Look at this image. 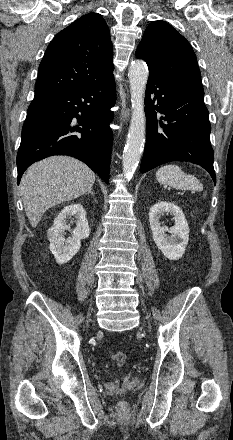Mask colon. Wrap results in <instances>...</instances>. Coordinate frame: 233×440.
Instances as JSON below:
<instances>
[{"label": "colon", "mask_w": 233, "mask_h": 440, "mask_svg": "<svg viewBox=\"0 0 233 440\" xmlns=\"http://www.w3.org/2000/svg\"><path fill=\"white\" fill-rule=\"evenodd\" d=\"M113 359H114L115 363L121 367L126 363L127 355H126V353H124L122 351H117V352L113 353ZM127 408H128V405L126 402H120L118 405L119 411H125V410H127Z\"/></svg>", "instance_id": "colon-1"}]
</instances>
